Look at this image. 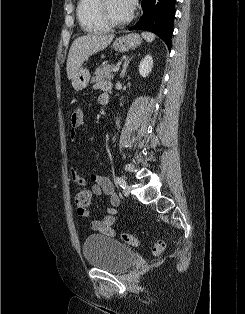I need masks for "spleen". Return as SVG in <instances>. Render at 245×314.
Returning a JSON list of instances; mask_svg holds the SVG:
<instances>
[{"label":"spleen","mask_w":245,"mask_h":314,"mask_svg":"<svg viewBox=\"0 0 245 314\" xmlns=\"http://www.w3.org/2000/svg\"><path fill=\"white\" fill-rule=\"evenodd\" d=\"M141 35L147 42H152L155 39V35L150 32H142Z\"/></svg>","instance_id":"1"}]
</instances>
